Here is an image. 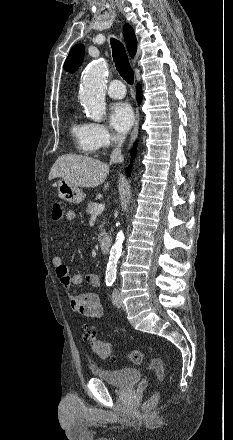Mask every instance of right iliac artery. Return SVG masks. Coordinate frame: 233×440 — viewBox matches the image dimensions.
Masks as SVG:
<instances>
[{"label":"right iliac artery","instance_id":"1","mask_svg":"<svg viewBox=\"0 0 233 440\" xmlns=\"http://www.w3.org/2000/svg\"><path fill=\"white\" fill-rule=\"evenodd\" d=\"M113 282H114L113 280H111V279H107V280H106V285H107V286H112Z\"/></svg>","mask_w":233,"mask_h":440}]
</instances>
